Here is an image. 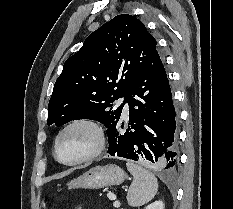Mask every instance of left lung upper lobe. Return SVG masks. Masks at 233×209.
I'll return each mask as SVG.
<instances>
[{"instance_id":"obj_1","label":"left lung upper lobe","mask_w":233,"mask_h":209,"mask_svg":"<svg viewBox=\"0 0 233 209\" xmlns=\"http://www.w3.org/2000/svg\"><path fill=\"white\" fill-rule=\"evenodd\" d=\"M156 40L142 22L121 14L92 32L82 48L64 63L48 105V125L91 119L107 129L120 119L134 79L157 51Z\"/></svg>"}]
</instances>
